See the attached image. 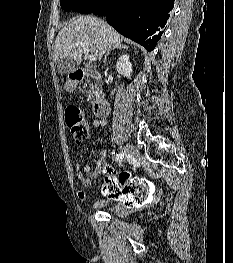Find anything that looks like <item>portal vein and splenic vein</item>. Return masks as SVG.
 <instances>
[{
    "label": "portal vein and splenic vein",
    "instance_id": "obj_1",
    "mask_svg": "<svg viewBox=\"0 0 233 263\" xmlns=\"http://www.w3.org/2000/svg\"><path fill=\"white\" fill-rule=\"evenodd\" d=\"M75 46H80L83 51L85 52L87 58L89 59V61H95L96 60V56L95 55H92V54H88V46L85 42H79L77 43ZM75 46H73L72 48H75Z\"/></svg>",
    "mask_w": 233,
    "mask_h": 263
}]
</instances>
